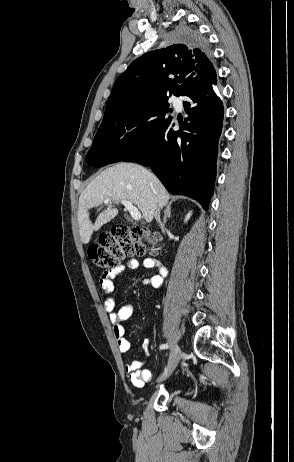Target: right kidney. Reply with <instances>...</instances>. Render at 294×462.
<instances>
[{
  "instance_id": "ca27d5eb",
  "label": "right kidney",
  "mask_w": 294,
  "mask_h": 462,
  "mask_svg": "<svg viewBox=\"0 0 294 462\" xmlns=\"http://www.w3.org/2000/svg\"><path fill=\"white\" fill-rule=\"evenodd\" d=\"M191 214H192V212L190 211V212L186 215V217H185V222H187V221L189 220Z\"/></svg>"
}]
</instances>
